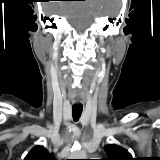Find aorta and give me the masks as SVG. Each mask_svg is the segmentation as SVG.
<instances>
[{"label": "aorta", "instance_id": "aorta-1", "mask_svg": "<svg viewBox=\"0 0 160 160\" xmlns=\"http://www.w3.org/2000/svg\"><path fill=\"white\" fill-rule=\"evenodd\" d=\"M70 157V159H87L86 152L80 149L73 150Z\"/></svg>", "mask_w": 160, "mask_h": 160}]
</instances>
